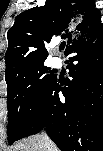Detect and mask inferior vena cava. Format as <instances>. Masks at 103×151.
Listing matches in <instances>:
<instances>
[{
	"label": "inferior vena cava",
	"mask_w": 103,
	"mask_h": 151,
	"mask_svg": "<svg viewBox=\"0 0 103 151\" xmlns=\"http://www.w3.org/2000/svg\"><path fill=\"white\" fill-rule=\"evenodd\" d=\"M42 139L44 142V151H51V147L53 146V142L51 141V139L47 136L46 133L42 134Z\"/></svg>",
	"instance_id": "inferior-vena-cava-1"
}]
</instances>
